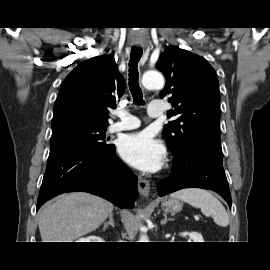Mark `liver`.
Returning a JSON list of instances; mask_svg holds the SVG:
<instances>
[{
	"label": "liver",
	"mask_w": 270,
	"mask_h": 270,
	"mask_svg": "<svg viewBox=\"0 0 270 270\" xmlns=\"http://www.w3.org/2000/svg\"><path fill=\"white\" fill-rule=\"evenodd\" d=\"M114 205L101 197L84 192L59 196L47 203L39 217L43 242H73L105 222Z\"/></svg>",
	"instance_id": "obj_1"
}]
</instances>
